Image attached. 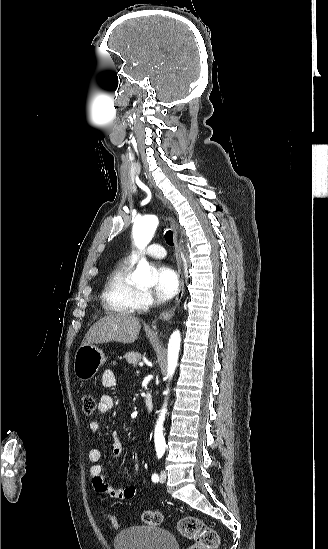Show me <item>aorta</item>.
<instances>
[{
  "mask_svg": "<svg viewBox=\"0 0 328 549\" xmlns=\"http://www.w3.org/2000/svg\"><path fill=\"white\" fill-rule=\"evenodd\" d=\"M159 224L158 217L155 215H146L139 219H136L133 225L132 234L135 245L139 249H144L156 231ZM132 280L140 286H151L153 284V274L148 262L145 258H142L138 264L136 270L132 274ZM181 336L178 330L174 331L170 336L168 343V365L166 379L172 378L175 369L178 364V356L180 350ZM169 390L165 391L168 395ZM167 413V405L164 403L163 408L160 411V415L156 422L154 440L157 451L164 452L166 448V442L163 435V424L165 415Z\"/></svg>",
  "mask_w": 328,
  "mask_h": 549,
  "instance_id": "obj_1",
  "label": "aorta"
}]
</instances>
